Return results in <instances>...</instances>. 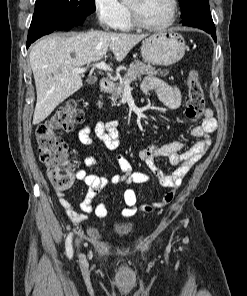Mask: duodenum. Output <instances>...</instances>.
Returning a JSON list of instances; mask_svg holds the SVG:
<instances>
[{
    "label": "duodenum",
    "mask_w": 247,
    "mask_h": 296,
    "mask_svg": "<svg viewBox=\"0 0 247 296\" xmlns=\"http://www.w3.org/2000/svg\"><path fill=\"white\" fill-rule=\"evenodd\" d=\"M113 87V84L110 80L108 79H102L100 82V91L102 93H107L109 92Z\"/></svg>",
    "instance_id": "duodenum-1"
}]
</instances>
